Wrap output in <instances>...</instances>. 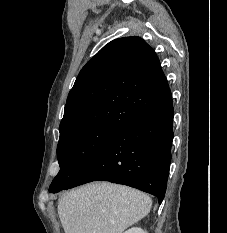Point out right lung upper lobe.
I'll return each instance as SVG.
<instances>
[{
  "label": "right lung upper lobe",
  "mask_w": 227,
  "mask_h": 233,
  "mask_svg": "<svg viewBox=\"0 0 227 233\" xmlns=\"http://www.w3.org/2000/svg\"><path fill=\"white\" fill-rule=\"evenodd\" d=\"M170 98L154 50L139 37L119 38L80 71L67 98L60 134L91 127L118 131Z\"/></svg>",
  "instance_id": "obj_1"
}]
</instances>
